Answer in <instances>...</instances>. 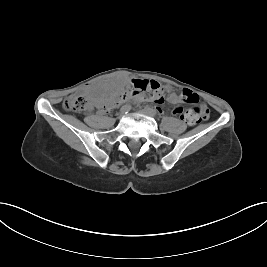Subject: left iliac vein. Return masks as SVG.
Returning <instances> with one entry per match:
<instances>
[{
  "instance_id": "4c4485c4",
  "label": "left iliac vein",
  "mask_w": 267,
  "mask_h": 267,
  "mask_svg": "<svg viewBox=\"0 0 267 267\" xmlns=\"http://www.w3.org/2000/svg\"><path fill=\"white\" fill-rule=\"evenodd\" d=\"M140 113L143 115H146L148 117H153V115L151 113H149L146 109L141 110Z\"/></svg>"
}]
</instances>
